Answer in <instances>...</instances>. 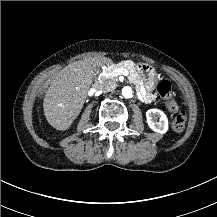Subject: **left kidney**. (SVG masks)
I'll return each instance as SVG.
<instances>
[{"instance_id":"5707ae66","label":"left kidney","mask_w":217,"mask_h":217,"mask_svg":"<svg viewBox=\"0 0 217 217\" xmlns=\"http://www.w3.org/2000/svg\"><path fill=\"white\" fill-rule=\"evenodd\" d=\"M159 120L157 121V119ZM146 119L149 127L158 133L164 134L168 130V119L165 113L159 109H149L146 112Z\"/></svg>"}]
</instances>
